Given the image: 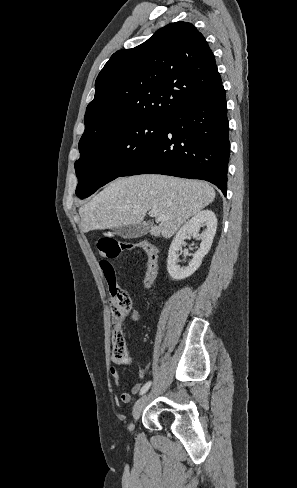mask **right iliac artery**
<instances>
[{
	"instance_id": "1",
	"label": "right iliac artery",
	"mask_w": 297,
	"mask_h": 488,
	"mask_svg": "<svg viewBox=\"0 0 297 488\" xmlns=\"http://www.w3.org/2000/svg\"><path fill=\"white\" fill-rule=\"evenodd\" d=\"M151 386V381L147 382L141 389L140 391V395H143L148 389L149 387Z\"/></svg>"
}]
</instances>
